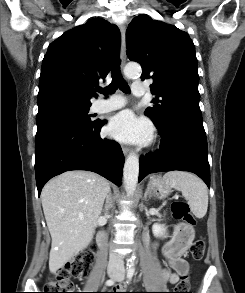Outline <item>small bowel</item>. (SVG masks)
Returning a JSON list of instances; mask_svg holds the SVG:
<instances>
[{
	"label": "small bowel",
	"mask_w": 245,
	"mask_h": 293,
	"mask_svg": "<svg viewBox=\"0 0 245 293\" xmlns=\"http://www.w3.org/2000/svg\"><path fill=\"white\" fill-rule=\"evenodd\" d=\"M163 255L171 270L160 268L161 275L167 284L174 285L181 277L188 273V262L180 257L174 241L172 240L166 243ZM121 288L125 289L126 285H123Z\"/></svg>",
	"instance_id": "obj_1"
}]
</instances>
